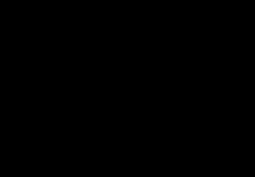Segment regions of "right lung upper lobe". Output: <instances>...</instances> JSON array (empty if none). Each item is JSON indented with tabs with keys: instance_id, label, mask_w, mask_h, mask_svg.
Masks as SVG:
<instances>
[{
	"instance_id": "obj_1",
	"label": "right lung upper lobe",
	"mask_w": 255,
	"mask_h": 177,
	"mask_svg": "<svg viewBox=\"0 0 255 177\" xmlns=\"http://www.w3.org/2000/svg\"><path fill=\"white\" fill-rule=\"evenodd\" d=\"M105 43L98 37L72 40L54 60L47 80V97L55 105L59 124L79 133L88 131L85 121L91 112L82 106L100 70Z\"/></svg>"
}]
</instances>
